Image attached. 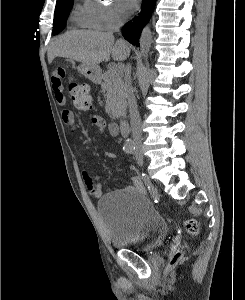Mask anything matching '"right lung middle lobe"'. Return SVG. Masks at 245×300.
Returning a JSON list of instances; mask_svg holds the SVG:
<instances>
[{
	"mask_svg": "<svg viewBox=\"0 0 245 300\" xmlns=\"http://www.w3.org/2000/svg\"><path fill=\"white\" fill-rule=\"evenodd\" d=\"M73 5V0H58L54 14L53 35L60 33Z\"/></svg>",
	"mask_w": 245,
	"mask_h": 300,
	"instance_id": "dd1d6c3e",
	"label": "right lung middle lobe"
}]
</instances>
